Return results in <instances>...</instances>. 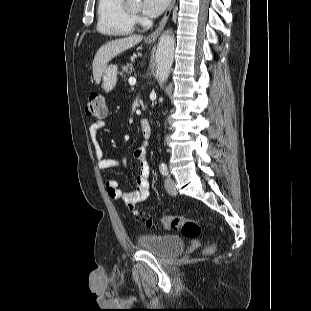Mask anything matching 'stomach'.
<instances>
[{
  "label": "stomach",
  "instance_id": "obj_1",
  "mask_svg": "<svg viewBox=\"0 0 311 311\" xmlns=\"http://www.w3.org/2000/svg\"><path fill=\"white\" fill-rule=\"evenodd\" d=\"M117 65H109L105 68L102 74V88L104 91L109 92L114 89L117 83Z\"/></svg>",
  "mask_w": 311,
  "mask_h": 311
}]
</instances>
